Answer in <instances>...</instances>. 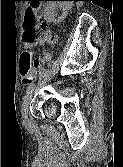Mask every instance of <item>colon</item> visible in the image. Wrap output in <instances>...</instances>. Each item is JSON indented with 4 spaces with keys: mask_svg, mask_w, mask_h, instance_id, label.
Here are the masks:
<instances>
[{
    "mask_svg": "<svg viewBox=\"0 0 123 167\" xmlns=\"http://www.w3.org/2000/svg\"><path fill=\"white\" fill-rule=\"evenodd\" d=\"M45 25L42 21L39 7L34 6L28 9L24 16L23 22V42L27 47L33 46L44 35ZM32 52L30 49L24 52L21 59L20 72L23 77H30V69L33 65ZM39 63V59L34 61V65Z\"/></svg>",
    "mask_w": 123,
    "mask_h": 167,
    "instance_id": "5ec220e1",
    "label": "colon"
}]
</instances>
